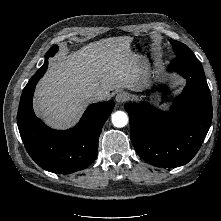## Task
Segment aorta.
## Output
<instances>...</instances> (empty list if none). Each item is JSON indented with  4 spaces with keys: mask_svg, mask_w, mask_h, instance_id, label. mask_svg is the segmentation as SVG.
<instances>
[{
    "mask_svg": "<svg viewBox=\"0 0 221 221\" xmlns=\"http://www.w3.org/2000/svg\"><path fill=\"white\" fill-rule=\"evenodd\" d=\"M111 121L115 127L122 128L128 124V116L125 112L117 111L112 115Z\"/></svg>",
    "mask_w": 221,
    "mask_h": 221,
    "instance_id": "1",
    "label": "aorta"
}]
</instances>
